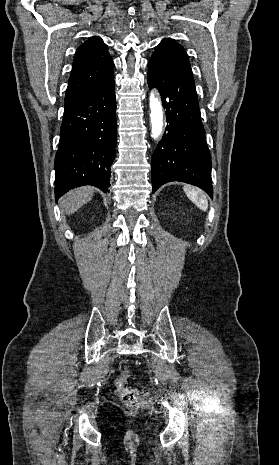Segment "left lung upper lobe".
I'll list each match as a JSON object with an SVG mask.
<instances>
[{
	"instance_id": "left-lung-upper-lobe-1",
	"label": "left lung upper lobe",
	"mask_w": 279,
	"mask_h": 465,
	"mask_svg": "<svg viewBox=\"0 0 279 465\" xmlns=\"http://www.w3.org/2000/svg\"><path fill=\"white\" fill-rule=\"evenodd\" d=\"M152 57H158L165 61L179 64L191 69L187 53L180 44L175 42L174 39H163L156 46Z\"/></svg>"
}]
</instances>
